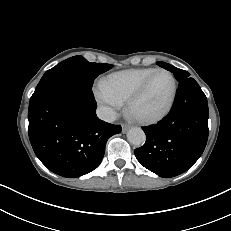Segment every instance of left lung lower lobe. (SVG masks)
Returning a JSON list of instances; mask_svg holds the SVG:
<instances>
[{
  "instance_id": "1",
  "label": "left lung lower lobe",
  "mask_w": 231,
  "mask_h": 231,
  "mask_svg": "<svg viewBox=\"0 0 231 231\" xmlns=\"http://www.w3.org/2000/svg\"><path fill=\"white\" fill-rule=\"evenodd\" d=\"M208 103L193 78L179 82L170 113L158 124L143 127L145 144L135 149L139 163L155 174L170 178L194 165L208 139Z\"/></svg>"
}]
</instances>
